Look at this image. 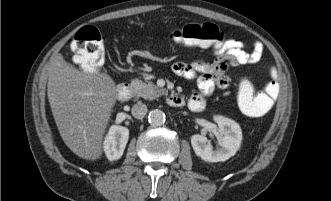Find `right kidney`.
I'll return each instance as SVG.
<instances>
[{
	"label": "right kidney",
	"mask_w": 331,
	"mask_h": 201,
	"mask_svg": "<svg viewBox=\"0 0 331 201\" xmlns=\"http://www.w3.org/2000/svg\"><path fill=\"white\" fill-rule=\"evenodd\" d=\"M129 138V130L126 127L113 125L104 140V151L110 161L119 159L124 152Z\"/></svg>",
	"instance_id": "right-kidney-1"
}]
</instances>
